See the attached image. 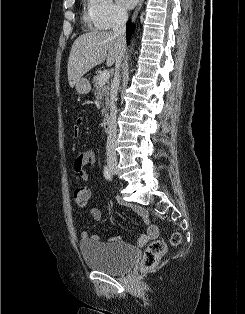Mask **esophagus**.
<instances>
[{
  "instance_id": "obj_1",
  "label": "esophagus",
  "mask_w": 245,
  "mask_h": 314,
  "mask_svg": "<svg viewBox=\"0 0 245 314\" xmlns=\"http://www.w3.org/2000/svg\"><path fill=\"white\" fill-rule=\"evenodd\" d=\"M143 1H144V0H139L138 5H137V7L135 8V10H134V12H133L132 20H134V19L137 17V15H138V13H139L141 7H142Z\"/></svg>"
}]
</instances>
